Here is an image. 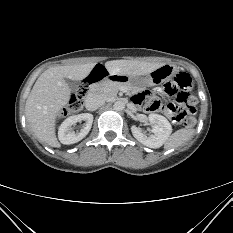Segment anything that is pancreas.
Here are the masks:
<instances>
[{
  "mask_svg": "<svg viewBox=\"0 0 233 233\" xmlns=\"http://www.w3.org/2000/svg\"><path fill=\"white\" fill-rule=\"evenodd\" d=\"M99 86H100L101 93L107 98H112V97L116 96L118 91L121 88H125L127 91L132 90L130 87H128L125 84L113 83V82H109V81H103L102 83H100ZM132 91H136V90H132Z\"/></svg>",
  "mask_w": 233,
  "mask_h": 233,
  "instance_id": "obj_1",
  "label": "pancreas"
}]
</instances>
